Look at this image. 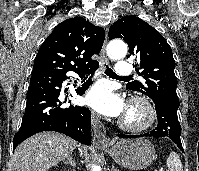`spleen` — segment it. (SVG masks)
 Wrapping results in <instances>:
<instances>
[{
  "mask_svg": "<svg viewBox=\"0 0 199 171\" xmlns=\"http://www.w3.org/2000/svg\"><path fill=\"white\" fill-rule=\"evenodd\" d=\"M168 171H183L182 162L176 152H171L166 161Z\"/></svg>",
  "mask_w": 199,
  "mask_h": 171,
  "instance_id": "3e777b00",
  "label": "spleen"
}]
</instances>
